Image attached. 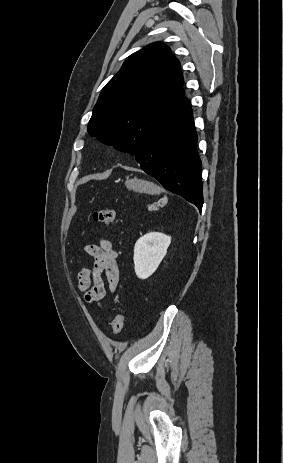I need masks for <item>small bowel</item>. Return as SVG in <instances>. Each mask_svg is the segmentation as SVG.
<instances>
[{
  "label": "small bowel",
  "mask_w": 283,
  "mask_h": 463,
  "mask_svg": "<svg viewBox=\"0 0 283 463\" xmlns=\"http://www.w3.org/2000/svg\"><path fill=\"white\" fill-rule=\"evenodd\" d=\"M84 249L94 259V263L92 268L84 267L80 270L78 288L87 301L99 303L107 292L114 293L118 286L120 272L117 253L106 239H101L97 245H86Z\"/></svg>",
  "instance_id": "c3829d8e"
}]
</instances>
